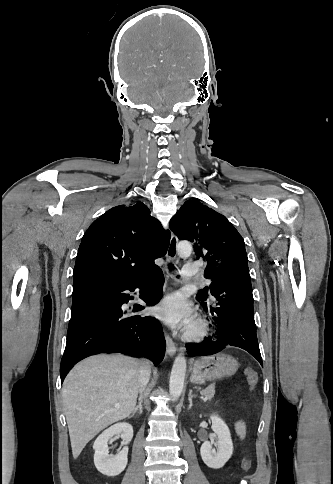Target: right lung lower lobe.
<instances>
[{
  "instance_id": "1",
  "label": "right lung lower lobe",
  "mask_w": 333,
  "mask_h": 484,
  "mask_svg": "<svg viewBox=\"0 0 333 484\" xmlns=\"http://www.w3.org/2000/svg\"><path fill=\"white\" fill-rule=\"evenodd\" d=\"M163 282L162 270L157 266L129 283L98 280L73 285L71 319L60 366L61 382L78 361L99 353L145 356L158 365L166 347L160 323L150 316L131 315L122 305L133 299L128 291L137 288L147 305H155L162 296ZM143 309L136 304L132 312Z\"/></svg>"
}]
</instances>
